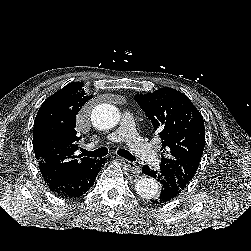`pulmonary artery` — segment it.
Instances as JSON below:
<instances>
[{
    "label": "pulmonary artery",
    "mask_w": 251,
    "mask_h": 251,
    "mask_svg": "<svg viewBox=\"0 0 251 251\" xmlns=\"http://www.w3.org/2000/svg\"><path fill=\"white\" fill-rule=\"evenodd\" d=\"M121 126L108 136L111 142H126L130 148L138 154L145 162L157 167L158 157L151 146L137 133L134 121L130 114L124 113Z\"/></svg>",
    "instance_id": "obj_1"
}]
</instances>
